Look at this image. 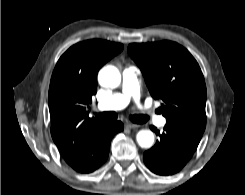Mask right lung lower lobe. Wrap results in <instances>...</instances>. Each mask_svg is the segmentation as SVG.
<instances>
[{
	"label": "right lung lower lobe",
	"instance_id": "1",
	"mask_svg": "<svg viewBox=\"0 0 245 195\" xmlns=\"http://www.w3.org/2000/svg\"><path fill=\"white\" fill-rule=\"evenodd\" d=\"M124 128L120 121L116 122H104L101 124L95 134L93 144V155L90 161L83 167L75 169L80 173L93 172L99 168L108 158L110 143L112 137L122 131Z\"/></svg>",
	"mask_w": 245,
	"mask_h": 195
}]
</instances>
